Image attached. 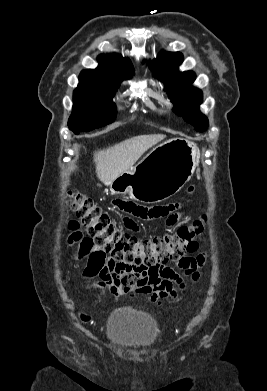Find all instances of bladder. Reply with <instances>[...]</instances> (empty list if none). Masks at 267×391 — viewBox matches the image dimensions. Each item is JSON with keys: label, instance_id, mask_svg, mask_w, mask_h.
Wrapping results in <instances>:
<instances>
[{"label": "bladder", "instance_id": "31cf9c89", "mask_svg": "<svg viewBox=\"0 0 267 391\" xmlns=\"http://www.w3.org/2000/svg\"><path fill=\"white\" fill-rule=\"evenodd\" d=\"M106 334L112 343L123 348H149L157 339L158 326L150 316L124 306L110 315Z\"/></svg>", "mask_w": 267, "mask_h": 391}]
</instances>
